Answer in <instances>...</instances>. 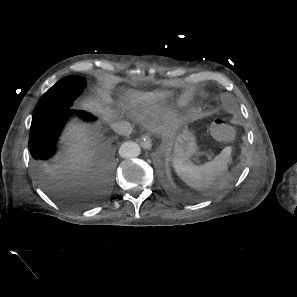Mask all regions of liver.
<instances>
[{
	"mask_svg": "<svg viewBox=\"0 0 297 297\" xmlns=\"http://www.w3.org/2000/svg\"><path fill=\"white\" fill-rule=\"evenodd\" d=\"M171 92H148L142 94L139 99L155 102L164 98ZM68 149L65 153V170L57 172L58 177L63 179L66 190L72 192H86L92 187L89 183L88 166L92 163V135L86 126L71 125L65 135Z\"/></svg>",
	"mask_w": 297,
	"mask_h": 297,
	"instance_id": "liver-1",
	"label": "liver"
}]
</instances>
